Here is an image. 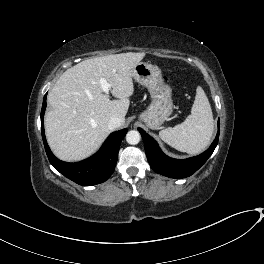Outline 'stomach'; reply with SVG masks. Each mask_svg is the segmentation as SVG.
Instances as JSON below:
<instances>
[{
	"label": "stomach",
	"instance_id": "0dacf381",
	"mask_svg": "<svg viewBox=\"0 0 264 264\" xmlns=\"http://www.w3.org/2000/svg\"><path fill=\"white\" fill-rule=\"evenodd\" d=\"M132 77L147 87L151 96V103L140 114V120L156 130L173 112L172 89L164 83L160 68L150 63H137L132 70Z\"/></svg>",
	"mask_w": 264,
	"mask_h": 264
}]
</instances>
